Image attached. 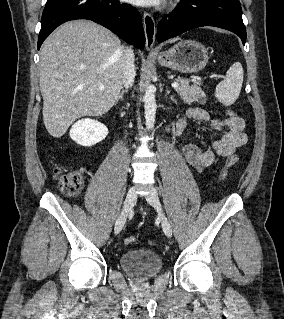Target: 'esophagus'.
Wrapping results in <instances>:
<instances>
[{"label": "esophagus", "instance_id": "34e87169", "mask_svg": "<svg viewBox=\"0 0 284 319\" xmlns=\"http://www.w3.org/2000/svg\"><path fill=\"white\" fill-rule=\"evenodd\" d=\"M143 25H144L145 38H146L145 47L148 51H153L154 43H155V35H156V24L151 14L147 12L143 13Z\"/></svg>", "mask_w": 284, "mask_h": 319}]
</instances>
